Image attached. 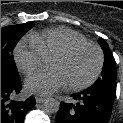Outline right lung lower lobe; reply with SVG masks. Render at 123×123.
Listing matches in <instances>:
<instances>
[{"instance_id": "obj_1", "label": "right lung lower lobe", "mask_w": 123, "mask_h": 123, "mask_svg": "<svg viewBox=\"0 0 123 123\" xmlns=\"http://www.w3.org/2000/svg\"><path fill=\"white\" fill-rule=\"evenodd\" d=\"M21 88L20 79L1 74V123H24L26 113L36 104L34 97L25 101L12 100Z\"/></svg>"}]
</instances>
